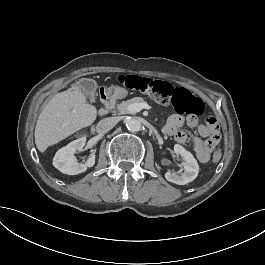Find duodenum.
I'll list each match as a JSON object with an SVG mask.
<instances>
[{
  "label": "duodenum",
  "mask_w": 265,
  "mask_h": 265,
  "mask_svg": "<svg viewBox=\"0 0 265 265\" xmlns=\"http://www.w3.org/2000/svg\"><path fill=\"white\" fill-rule=\"evenodd\" d=\"M99 94L102 97L103 108L101 109L100 113L104 114L106 111L113 107L114 99L111 95L108 94V91L105 88L99 89Z\"/></svg>",
  "instance_id": "1"
}]
</instances>
